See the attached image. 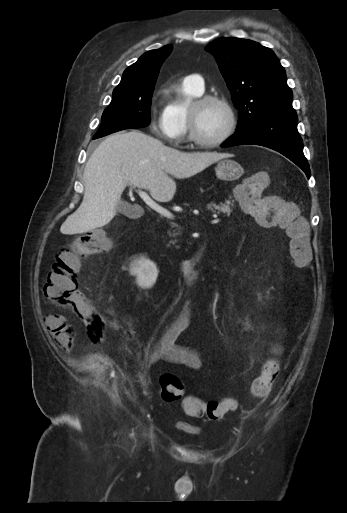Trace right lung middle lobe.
Instances as JSON below:
<instances>
[{
	"label": "right lung middle lobe",
	"instance_id": "dd1d6c3e",
	"mask_svg": "<svg viewBox=\"0 0 347 513\" xmlns=\"http://www.w3.org/2000/svg\"><path fill=\"white\" fill-rule=\"evenodd\" d=\"M155 83L146 87L117 88L102 115V123L94 138L150 123V106Z\"/></svg>",
	"mask_w": 347,
	"mask_h": 513
}]
</instances>
